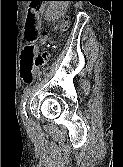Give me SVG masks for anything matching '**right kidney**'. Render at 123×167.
Listing matches in <instances>:
<instances>
[{
    "label": "right kidney",
    "mask_w": 123,
    "mask_h": 167,
    "mask_svg": "<svg viewBox=\"0 0 123 167\" xmlns=\"http://www.w3.org/2000/svg\"><path fill=\"white\" fill-rule=\"evenodd\" d=\"M68 1H50L46 10V16L52 20L61 17L69 6Z\"/></svg>",
    "instance_id": "obj_1"
}]
</instances>
